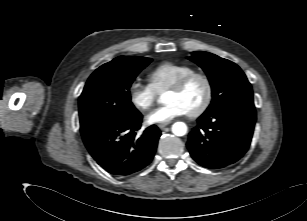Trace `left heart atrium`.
Segmentation results:
<instances>
[{
  "mask_svg": "<svg viewBox=\"0 0 307 221\" xmlns=\"http://www.w3.org/2000/svg\"><path fill=\"white\" fill-rule=\"evenodd\" d=\"M187 114L186 110L178 102H169L146 116V121L149 124L168 123L172 119Z\"/></svg>",
  "mask_w": 307,
  "mask_h": 221,
  "instance_id": "obj_1",
  "label": "left heart atrium"
}]
</instances>
